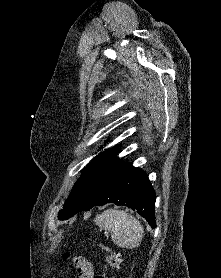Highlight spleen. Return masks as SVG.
Returning <instances> with one entry per match:
<instances>
[{"mask_svg": "<svg viewBox=\"0 0 221 278\" xmlns=\"http://www.w3.org/2000/svg\"><path fill=\"white\" fill-rule=\"evenodd\" d=\"M95 223L111 232V239L118 247L132 249L142 240L140 222L123 210L107 209L96 216Z\"/></svg>", "mask_w": 221, "mask_h": 278, "instance_id": "1", "label": "spleen"}]
</instances>
